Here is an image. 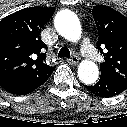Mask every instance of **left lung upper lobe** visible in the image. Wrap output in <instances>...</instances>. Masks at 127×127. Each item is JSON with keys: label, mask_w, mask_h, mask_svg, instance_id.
<instances>
[{"label": "left lung upper lobe", "mask_w": 127, "mask_h": 127, "mask_svg": "<svg viewBox=\"0 0 127 127\" xmlns=\"http://www.w3.org/2000/svg\"><path fill=\"white\" fill-rule=\"evenodd\" d=\"M98 29L97 48L105 61L101 63V74L127 84V18L105 5L92 9Z\"/></svg>", "instance_id": "1"}]
</instances>
